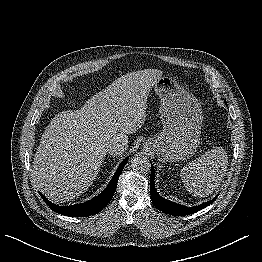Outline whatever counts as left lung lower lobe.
I'll return each instance as SVG.
<instances>
[{"mask_svg":"<svg viewBox=\"0 0 262 262\" xmlns=\"http://www.w3.org/2000/svg\"><path fill=\"white\" fill-rule=\"evenodd\" d=\"M154 177H155V169L153 166H151V176H150V191H151V200L154 204V206L162 211L163 213L173 215V216H184V215H189L193 214L197 211H200L201 209L205 208L206 206L210 205L212 202H214L217 198H213L212 200H209L203 204L194 206V207H186L183 205H179L177 203H174L172 201H169L167 199H164L161 197L156 188H155V182H154Z\"/></svg>","mask_w":262,"mask_h":262,"instance_id":"left-lung-lower-lobe-1","label":"left lung lower lobe"}]
</instances>
